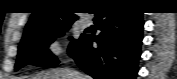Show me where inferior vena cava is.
Returning a JSON list of instances; mask_svg holds the SVG:
<instances>
[{"mask_svg":"<svg viewBox=\"0 0 177 79\" xmlns=\"http://www.w3.org/2000/svg\"><path fill=\"white\" fill-rule=\"evenodd\" d=\"M74 78L75 79H83V77H82V74H80L79 72H77V71H74Z\"/></svg>","mask_w":177,"mask_h":79,"instance_id":"1","label":"inferior vena cava"}]
</instances>
